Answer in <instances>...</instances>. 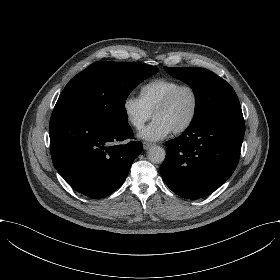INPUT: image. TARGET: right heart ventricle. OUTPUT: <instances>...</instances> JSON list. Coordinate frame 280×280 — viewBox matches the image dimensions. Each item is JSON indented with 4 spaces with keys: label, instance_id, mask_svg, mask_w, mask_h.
Returning <instances> with one entry per match:
<instances>
[{
    "label": "right heart ventricle",
    "instance_id": "right-heart-ventricle-1",
    "mask_svg": "<svg viewBox=\"0 0 280 280\" xmlns=\"http://www.w3.org/2000/svg\"><path fill=\"white\" fill-rule=\"evenodd\" d=\"M181 84V81L167 77L150 79L139 88V99L152 113L156 106Z\"/></svg>",
    "mask_w": 280,
    "mask_h": 280
}]
</instances>
